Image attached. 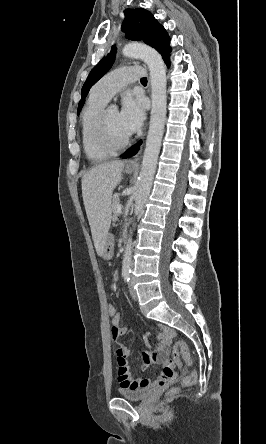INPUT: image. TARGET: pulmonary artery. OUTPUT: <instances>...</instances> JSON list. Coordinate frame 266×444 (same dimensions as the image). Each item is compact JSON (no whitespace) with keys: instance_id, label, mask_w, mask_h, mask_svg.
Listing matches in <instances>:
<instances>
[{"instance_id":"obj_1","label":"pulmonary artery","mask_w":266,"mask_h":444,"mask_svg":"<svg viewBox=\"0 0 266 444\" xmlns=\"http://www.w3.org/2000/svg\"><path fill=\"white\" fill-rule=\"evenodd\" d=\"M146 74L141 66H122L102 77L93 87L92 92L107 102L129 83L138 80Z\"/></svg>"}]
</instances>
